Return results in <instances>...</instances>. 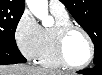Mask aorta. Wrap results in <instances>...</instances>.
Instances as JSON below:
<instances>
[{"label": "aorta", "instance_id": "aorta-1", "mask_svg": "<svg viewBox=\"0 0 102 75\" xmlns=\"http://www.w3.org/2000/svg\"><path fill=\"white\" fill-rule=\"evenodd\" d=\"M27 6L35 17L42 21L43 26H51L54 23L53 17L48 14L47 0H26Z\"/></svg>", "mask_w": 102, "mask_h": 75}]
</instances>
